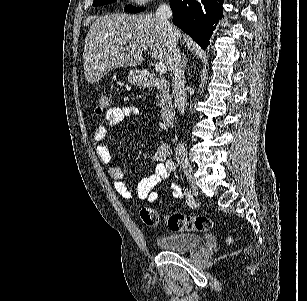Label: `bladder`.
<instances>
[{
  "instance_id": "bladder-1",
  "label": "bladder",
  "mask_w": 307,
  "mask_h": 301,
  "mask_svg": "<svg viewBox=\"0 0 307 301\" xmlns=\"http://www.w3.org/2000/svg\"><path fill=\"white\" fill-rule=\"evenodd\" d=\"M201 241H203V239L195 234L178 232L166 236H160L156 240V244L161 247L162 251H187L192 246L199 245Z\"/></svg>"
}]
</instances>
